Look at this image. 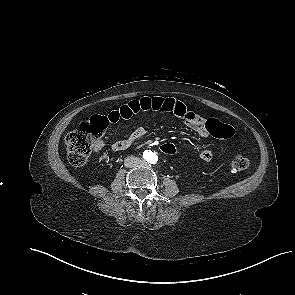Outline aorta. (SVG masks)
<instances>
[{
    "label": "aorta",
    "instance_id": "762f6f07",
    "mask_svg": "<svg viewBox=\"0 0 295 295\" xmlns=\"http://www.w3.org/2000/svg\"><path fill=\"white\" fill-rule=\"evenodd\" d=\"M143 158L146 162L150 163V164H155L158 161V156L156 152H153L151 150H146L143 153Z\"/></svg>",
    "mask_w": 295,
    "mask_h": 295
}]
</instances>
